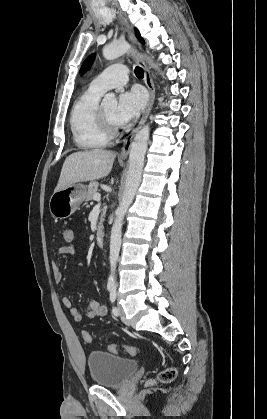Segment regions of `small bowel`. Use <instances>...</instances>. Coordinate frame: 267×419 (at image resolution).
<instances>
[{"instance_id": "small-bowel-1", "label": "small bowel", "mask_w": 267, "mask_h": 419, "mask_svg": "<svg viewBox=\"0 0 267 419\" xmlns=\"http://www.w3.org/2000/svg\"><path fill=\"white\" fill-rule=\"evenodd\" d=\"M76 252V246L75 245H67L60 247L57 250L56 257H61L63 255H72ZM53 278L56 283H60L63 279L62 271L60 270L58 263L56 260L52 262L51 265ZM61 303L64 308H66L72 318L79 322L83 318V314L73 305L71 299L68 296H63L61 299ZM107 314V308L106 306L100 304L98 301L91 300L89 301L86 310L85 315L90 319H96L103 317Z\"/></svg>"}]
</instances>
